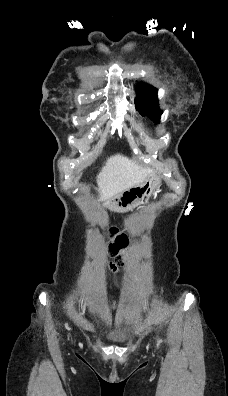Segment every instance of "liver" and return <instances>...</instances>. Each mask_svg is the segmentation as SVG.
<instances>
[{
	"instance_id": "obj_1",
	"label": "liver",
	"mask_w": 228,
	"mask_h": 396,
	"mask_svg": "<svg viewBox=\"0 0 228 396\" xmlns=\"http://www.w3.org/2000/svg\"><path fill=\"white\" fill-rule=\"evenodd\" d=\"M153 174L152 169L144 168L123 155L111 156L97 176L100 200L105 201L141 184Z\"/></svg>"
}]
</instances>
